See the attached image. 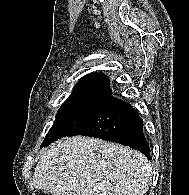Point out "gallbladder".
<instances>
[{
	"mask_svg": "<svg viewBox=\"0 0 189 195\" xmlns=\"http://www.w3.org/2000/svg\"><path fill=\"white\" fill-rule=\"evenodd\" d=\"M43 192H44V193H48V191H47V190H43Z\"/></svg>",
	"mask_w": 189,
	"mask_h": 195,
	"instance_id": "bac80fb5",
	"label": "gallbladder"
}]
</instances>
